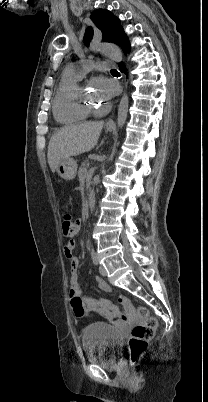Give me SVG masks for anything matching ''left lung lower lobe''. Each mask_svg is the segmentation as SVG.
I'll use <instances>...</instances> for the list:
<instances>
[{"label": "left lung lower lobe", "mask_w": 208, "mask_h": 402, "mask_svg": "<svg viewBox=\"0 0 208 402\" xmlns=\"http://www.w3.org/2000/svg\"><path fill=\"white\" fill-rule=\"evenodd\" d=\"M120 46H121L122 50H123L125 53L130 50V45H129V42H128V39H127L126 36H125V38L123 39V41L121 42V45H120ZM119 68H120V70H121L122 72L126 73L123 63H120V64H119Z\"/></svg>", "instance_id": "left-lung-lower-lobe-1"}]
</instances>
